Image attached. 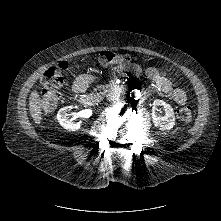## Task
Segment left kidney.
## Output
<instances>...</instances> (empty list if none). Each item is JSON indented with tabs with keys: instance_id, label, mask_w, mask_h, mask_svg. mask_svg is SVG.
I'll return each instance as SVG.
<instances>
[{
	"instance_id": "left-kidney-1",
	"label": "left kidney",
	"mask_w": 221,
	"mask_h": 221,
	"mask_svg": "<svg viewBox=\"0 0 221 221\" xmlns=\"http://www.w3.org/2000/svg\"><path fill=\"white\" fill-rule=\"evenodd\" d=\"M155 106H162L165 110L164 117H158L154 112L152 113L153 122L156 127H158L161 131L170 130L175 125V116L173 108L170 104L166 103L163 100H156L154 101Z\"/></svg>"
}]
</instances>
